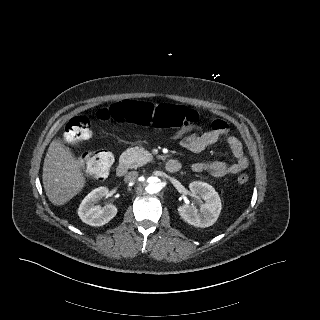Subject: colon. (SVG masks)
I'll list each match as a JSON object with an SVG mask.
<instances>
[{"instance_id":"colon-1","label":"colon","mask_w":320,"mask_h":320,"mask_svg":"<svg viewBox=\"0 0 320 320\" xmlns=\"http://www.w3.org/2000/svg\"><path fill=\"white\" fill-rule=\"evenodd\" d=\"M97 116L103 121L121 123H136L157 128L181 127L193 125L198 120L195 111L182 106L164 103L154 105L138 100H124L98 110ZM91 137V122L85 116L71 118L64 129V138L68 143H77ZM113 155L107 150L86 153L81 158V164L89 175L95 178H105L112 167ZM249 180L247 174H240L237 181L245 184Z\"/></svg>"}]
</instances>
